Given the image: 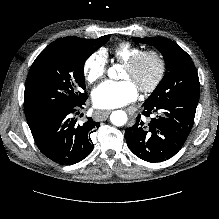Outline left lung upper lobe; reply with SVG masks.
Wrapping results in <instances>:
<instances>
[{"mask_svg": "<svg viewBox=\"0 0 219 219\" xmlns=\"http://www.w3.org/2000/svg\"><path fill=\"white\" fill-rule=\"evenodd\" d=\"M132 39L159 49L169 70L146 102L165 103L180 96L200 93L195 65L191 57L175 42L163 37H133Z\"/></svg>", "mask_w": 219, "mask_h": 219, "instance_id": "obj_1", "label": "left lung upper lobe"}]
</instances>
